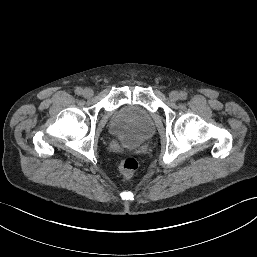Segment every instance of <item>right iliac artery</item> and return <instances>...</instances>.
Masks as SVG:
<instances>
[{
	"instance_id": "82829eb1",
	"label": "right iliac artery",
	"mask_w": 257,
	"mask_h": 257,
	"mask_svg": "<svg viewBox=\"0 0 257 257\" xmlns=\"http://www.w3.org/2000/svg\"><path fill=\"white\" fill-rule=\"evenodd\" d=\"M75 93H76L77 95H81V94L83 93L82 88L77 87L76 90H75Z\"/></svg>"
}]
</instances>
